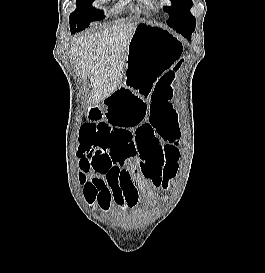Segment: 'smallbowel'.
<instances>
[{"label":"small bowel","mask_w":265,"mask_h":273,"mask_svg":"<svg viewBox=\"0 0 265 273\" xmlns=\"http://www.w3.org/2000/svg\"><path fill=\"white\" fill-rule=\"evenodd\" d=\"M146 108L142 95L117 91L102 107L90 110L88 118L97 124L80 125L81 129H109L110 144L103 154L105 168H96L92 156H81L88 166L86 170L94 174L89 182L93 189L90 200L96 201L104 212H109L113 204L123 210L134 209L139 203L137 184L144 188L148 183L159 186L154 174L158 178L162 174L166 143L148 121H143L149 113Z\"/></svg>","instance_id":"c3829d8e"}]
</instances>
